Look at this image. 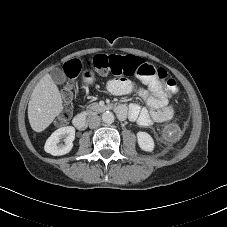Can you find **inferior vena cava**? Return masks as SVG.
Returning <instances> with one entry per match:
<instances>
[{"instance_id":"602c4592","label":"inferior vena cava","mask_w":227,"mask_h":227,"mask_svg":"<svg viewBox=\"0 0 227 227\" xmlns=\"http://www.w3.org/2000/svg\"><path fill=\"white\" fill-rule=\"evenodd\" d=\"M101 119L98 115H93L88 119L90 128H97L100 125Z\"/></svg>"}]
</instances>
